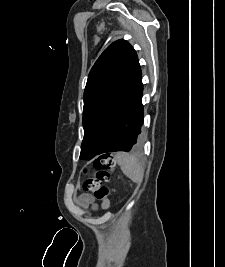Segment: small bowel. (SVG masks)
I'll use <instances>...</instances> for the list:
<instances>
[{
	"mask_svg": "<svg viewBox=\"0 0 225 267\" xmlns=\"http://www.w3.org/2000/svg\"><path fill=\"white\" fill-rule=\"evenodd\" d=\"M94 197L91 193H83L78 197V204L83 208L94 206Z\"/></svg>",
	"mask_w": 225,
	"mask_h": 267,
	"instance_id": "obj_1",
	"label": "small bowel"
}]
</instances>
